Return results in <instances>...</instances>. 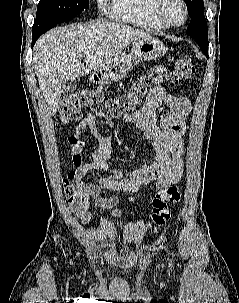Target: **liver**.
<instances>
[{
  "label": "liver",
  "instance_id": "1",
  "mask_svg": "<svg viewBox=\"0 0 239 303\" xmlns=\"http://www.w3.org/2000/svg\"><path fill=\"white\" fill-rule=\"evenodd\" d=\"M146 36L142 30L106 21L54 28L41 36L34 47V69L50 116L57 111L64 81L112 63L132 41Z\"/></svg>",
  "mask_w": 239,
  "mask_h": 303
}]
</instances>
